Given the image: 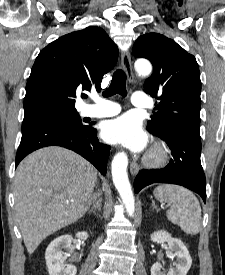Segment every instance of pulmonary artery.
Instances as JSON below:
<instances>
[{
    "label": "pulmonary artery",
    "mask_w": 225,
    "mask_h": 275,
    "mask_svg": "<svg viewBox=\"0 0 225 275\" xmlns=\"http://www.w3.org/2000/svg\"><path fill=\"white\" fill-rule=\"evenodd\" d=\"M132 104L139 108H149L151 106L150 99L144 92L134 93ZM120 111L121 108L117 103L99 99L96 104L86 106L82 113L89 117H109L118 114Z\"/></svg>",
    "instance_id": "obj_1"
}]
</instances>
